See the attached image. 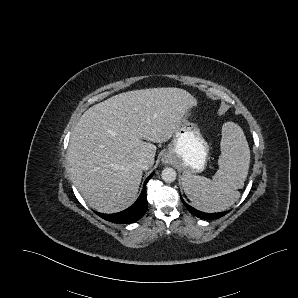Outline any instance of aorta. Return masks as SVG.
Here are the masks:
<instances>
[{"label": "aorta", "mask_w": 298, "mask_h": 298, "mask_svg": "<svg viewBox=\"0 0 298 298\" xmlns=\"http://www.w3.org/2000/svg\"><path fill=\"white\" fill-rule=\"evenodd\" d=\"M161 178L166 183H172L177 178V171L172 167H166L161 172Z\"/></svg>", "instance_id": "762f6f07"}]
</instances>
